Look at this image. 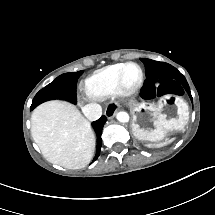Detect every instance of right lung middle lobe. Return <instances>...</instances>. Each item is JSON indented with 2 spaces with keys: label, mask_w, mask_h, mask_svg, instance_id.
<instances>
[{
  "label": "right lung middle lobe",
  "mask_w": 215,
  "mask_h": 215,
  "mask_svg": "<svg viewBox=\"0 0 215 215\" xmlns=\"http://www.w3.org/2000/svg\"><path fill=\"white\" fill-rule=\"evenodd\" d=\"M83 71L65 73L41 89L34 97L31 110L51 99H63L76 104V83Z\"/></svg>",
  "instance_id": "1"
}]
</instances>
